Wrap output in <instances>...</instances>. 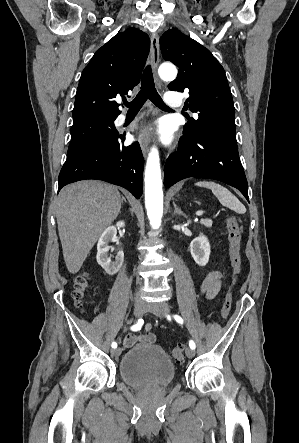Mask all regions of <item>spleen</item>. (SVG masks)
Segmentation results:
<instances>
[{
    "label": "spleen",
    "instance_id": "obj_1",
    "mask_svg": "<svg viewBox=\"0 0 299 443\" xmlns=\"http://www.w3.org/2000/svg\"><path fill=\"white\" fill-rule=\"evenodd\" d=\"M195 185L210 189L223 206L235 211L236 213L244 214L246 212L245 206L238 200V198L220 184L212 181H200L195 183Z\"/></svg>",
    "mask_w": 299,
    "mask_h": 443
}]
</instances>
